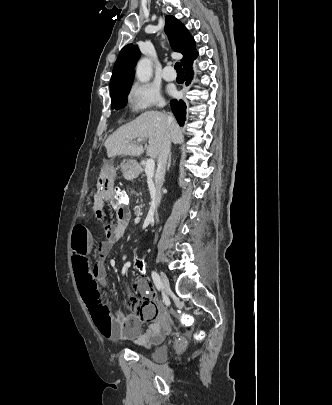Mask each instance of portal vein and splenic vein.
<instances>
[{
	"mask_svg": "<svg viewBox=\"0 0 332 405\" xmlns=\"http://www.w3.org/2000/svg\"><path fill=\"white\" fill-rule=\"evenodd\" d=\"M137 142H139V143L142 142V139H137ZM154 169H155L154 160L153 159H148L147 162H146V166H145V174H146L148 179L153 177Z\"/></svg>",
	"mask_w": 332,
	"mask_h": 405,
	"instance_id": "1",
	"label": "portal vein and splenic vein"
}]
</instances>
